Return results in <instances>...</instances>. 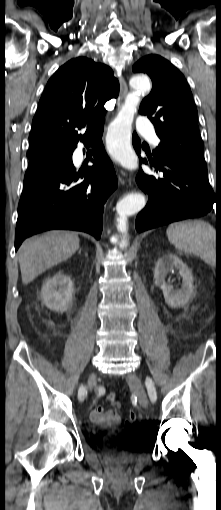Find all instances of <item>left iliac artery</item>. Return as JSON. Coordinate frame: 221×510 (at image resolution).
I'll return each instance as SVG.
<instances>
[{"mask_svg":"<svg viewBox=\"0 0 221 510\" xmlns=\"http://www.w3.org/2000/svg\"><path fill=\"white\" fill-rule=\"evenodd\" d=\"M145 385L147 387L148 395H149V398H150L151 402H153V403L156 402L157 394H156V391H153V384L150 381V378L146 379Z\"/></svg>","mask_w":221,"mask_h":510,"instance_id":"left-iliac-artery-1","label":"left iliac artery"}]
</instances>
